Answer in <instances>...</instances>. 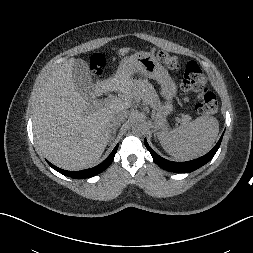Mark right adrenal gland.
I'll return each instance as SVG.
<instances>
[{
    "label": "right adrenal gland",
    "instance_id": "2a0ac1e0",
    "mask_svg": "<svg viewBox=\"0 0 253 253\" xmlns=\"http://www.w3.org/2000/svg\"><path fill=\"white\" fill-rule=\"evenodd\" d=\"M116 131H117V128H116V127H114V128L111 129V133H112V136H110V139H111V140H113V139L115 138V136H116Z\"/></svg>",
    "mask_w": 253,
    "mask_h": 253
}]
</instances>
